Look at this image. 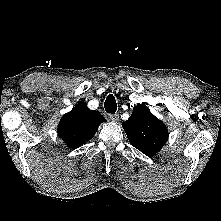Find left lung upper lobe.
Listing matches in <instances>:
<instances>
[{
	"label": "left lung upper lobe",
	"mask_w": 221,
	"mask_h": 221,
	"mask_svg": "<svg viewBox=\"0 0 221 221\" xmlns=\"http://www.w3.org/2000/svg\"><path fill=\"white\" fill-rule=\"evenodd\" d=\"M132 146L147 156L156 154L168 139V129L144 104H137L122 123Z\"/></svg>",
	"instance_id": "5c2ea615"
}]
</instances>
